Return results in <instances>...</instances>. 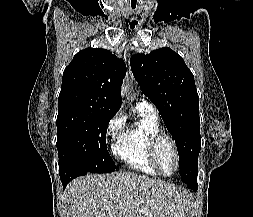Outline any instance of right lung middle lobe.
Instances as JSON below:
<instances>
[{
  "mask_svg": "<svg viewBox=\"0 0 253 217\" xmlns=\"http://www.w3.org/2000/svg\"><path fill=\"white\" fill-rule=\"evenodd\" d=\"M114 113L83 107L58 108L59 169L68 173H107L115 163L107 151L106 132Z\"/></svg>",
  "mask_w": 253,
  "mask_h": 217,
  "instance_id": "right-lung-middle-lobe-1",
  "label": "right lung middle lobe"
}]
</instances>
